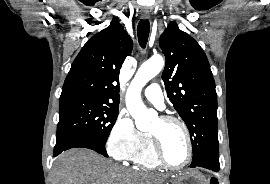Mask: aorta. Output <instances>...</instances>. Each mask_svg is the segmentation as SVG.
<instances>
[{
  "label": "aorta",
  "mask_w": 270,
  "mask_h": 184,
  "mask_svg": "<svg viewBox=\"0 0 270 184\" xmlns=\"http://www.w3.org/2000/svg\"><path fill=\"white\" fill-rule=\"evenodd\" d=\"M164 60L160 55H154L138 69L126 93V106L135 120L136 127L145 131L157 118V113L149 110L141 99L142 88L154 78L163 68Z\"/></svg>",
  "instance_id": "aorta-1"
}]
</instances>
